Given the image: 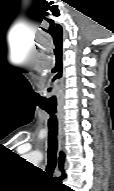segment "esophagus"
I'll return each instance as SVG.
<instances>
[{
  "label": "esophagus",
  "mask_w": 114,
  "mask_h": 191,
  "mask_svg": "<svg viewBox=\"0 0 114 191\" xmlns=\"http://www.w3.org/2000/svg\"><path fill=\"white\" fill-rule=\"evenodd\" d=\"M58 117H59V135H60V139L62 138V135H63V121H62V113L59 112L58 114Z\"/></svg>",
  "instance_id": "1"
}]
</instances>
